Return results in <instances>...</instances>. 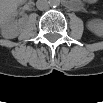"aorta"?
<instances>
[{"mask_svg": "<svg viewBox=\"0 0 103 103\" xmlns=\"http://www.w3.org/2000/svg\"><path fill=\"white\" fill-rule=\"evenodd\" d=\"M59 2L57 0H51L49 1V5L52 6V7H56L58 6Z\"/></svg>", "mask_w": 103, "mask_h": 103, "instance_id": "762f6f07", "label": "aorta"}]
</instances>
